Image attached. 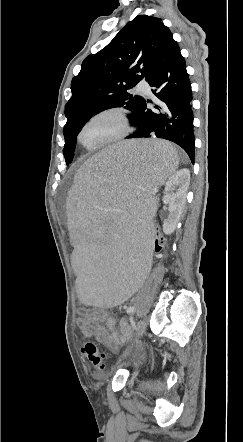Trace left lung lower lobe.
Segmentation results:
<instances>
[{"instance_id":"left-lung-lower-lobe-1","label":"left lung lower lobe","mask_w":243,"mask_h":442,"mask_svg":"<svg viewBox=\"0 0 243 442\" xmlns=\"http://www.w3.org/2000/svg\"><path fill=\"white\" fill-rule=\"evenodd\" d=\"M146 81L156 95L154 101L144 100L139 111L130 121L137 127L132 138H163L182 147L194 163L195 138L193 133L192 90L185 59L172 34L149 68ZM154 104L147 109L146 103Z\"/></svg>"}]
</instances>
